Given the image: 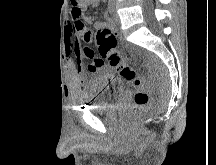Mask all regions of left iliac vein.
<instances>
[{"instance_id": "left-iliac-vein-1", "label": "left iliac vein", "mask_w": 216, "mask_h": 165, "mask_svg": "<svg viewBox=\"0 0 216 165\" xmlns=\"http://www.w3.org/2000/svg\"><path fill=\"white\" fill-rule=\"evenodd\" d=\"M113 7H114V9H115V3H114V5H113ZM113 17H114V22H115V23H119L120 19H119V16H118V14H117L116 12L114 13V16H113Z\"/></svg>"}]
</instances>
